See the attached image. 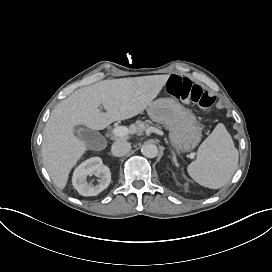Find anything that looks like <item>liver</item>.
Here are the masks:
<instances>
[{"label":"liver","instance_id":"obj_1","mask_svg":"<svg viewBox=\"0 0 272 272\" xmlns=\"http://www.w3.org/2000/svg\"><path fill=\"white\" fill-rule=\"evenodd\" d=\"M170 75H151L104 80L76 90L51 112L43 133L42 159L52 181L64 190L69 174L88 151V143L78 137L76 127L85 125L103 130L114 121L141 114L161 92ZM103 104L107 113L99 110ZM136 124L129 125L131 135L138 133ZM131 136L114 138L129 141Z\"/></svg>","mask_w":272,"mask_h":272}]
</instances>
